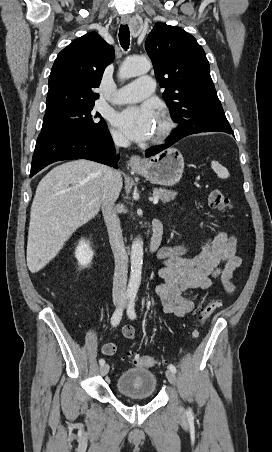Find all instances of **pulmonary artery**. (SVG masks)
Here are the masks:
<instances>
[{
  "label": "pulmonary artery",
  "instance_id": "obj_1",
  "mask_svg": "<svg viewBox=\"0 0 272 452\" xmlns=\"http://www.w3.org/2000/svg\"><path fill=\"white\" fill-rule=\"evenodd\" d=\"M154 88L155 83L151 77H141L118 89L115 92L112 101L115 104L139 102L151 96L154 92Z\"/></svg>",
  "mask_w": 272,
  "mask_h": 452
}]
</instances>
